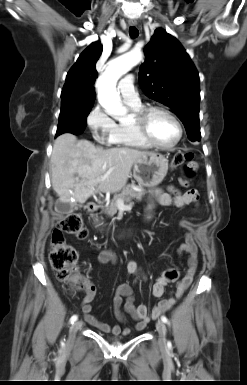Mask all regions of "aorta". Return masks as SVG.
<instances>
[{
	"label": "aorta",
	"instance_id": "1",
	"mask_svg": "<svg viewBox=\"0 0 247 385\" xmlns=\"http://www.w3.org/2000/svg\"><path fill=\"white\" fill-rule=\"evenodd\" d=\"M143 58L140 51H130L116 59L110 60L103 74L97 79L98 101L105 111L115 118L127 114L120 94L116 89L118 80L136 66Z\"/></svg>",
	"mask_w": 247,
	"mask_h": 385
}]
</instances>
